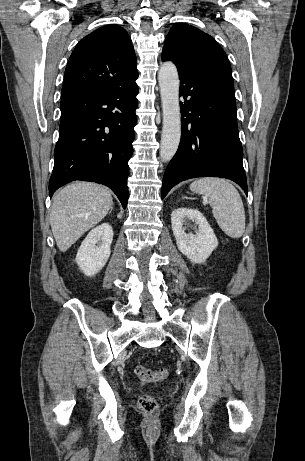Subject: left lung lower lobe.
I'll list each match as a JSON object with an SVG mask.
<instances>
[{"label":"left lung lower lobe","mask_w":305,"mask_h":461,"mask_svg":"<svg viewBox=\"0 0 305 461\" xmlns=\"http://www.w3.org/2000/svg\"><path fill=\"white\" fill-rule=\"evenodd\" d=\"M179 77L182 133L163 177L162 199L179 182L205 176L231 179L247 194L232 77Z\"/></svg>","instance_id":"0a47b994"}]
</instances>
